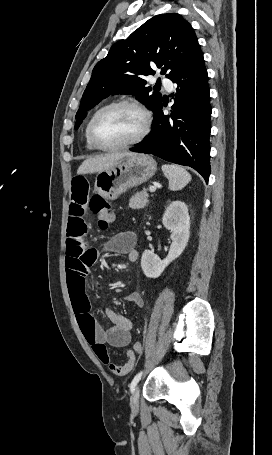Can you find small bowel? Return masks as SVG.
<instances>
[{
  "label": "small bowel",
  "instance_id": "1",
  "mask_svg": "<svg viewBox=\"0 0 272 455\" xmlns=\"http://www.w3.org/2000/svg\"><path fill=\"white\" fill-rule=\"evenodd\" d=\"M89 181L86 176L78 174L71 182V199L69 206L68 228L66 239V273L69 294L77 322L87 343L97 358L117 376H124L135 366V354L127 350V362L123 365L111 363L108 346L125 348L131 342V320L112 309H105V316L111 322L108 329H103L90 310L86 291V282L91 266L96 262L98 253L88 246L85 236L88 230L86 222L89 199ZM136 235L132 231H123L112 236L104 249L117 254H125L130 262L138 260ZM125 299L135 306L144 304L143 293L139 290L129 292Z\"/></svg>",
  "mask_w": 272,
  "mask_h": 455
}]
</instances>
